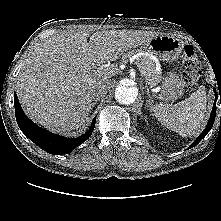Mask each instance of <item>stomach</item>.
Here are the masks:
<instances>
[{"label": "stomach", "instance_id": "1", "mask_svg": "<svg viewBox=\"0 0 221 221\" xmlns=\"http://www.w3.org/2000/svg\"><path fill=\"white\" fill-rule=\"evenodd\" d=\"M150 55L166 62L177 61L184 48V42L174 36L156 35L148 43L140 46ZM184 93V84L179 75L171 71L163 78L161 94L165 100H176Z\"/></svg>", "mask_w": 221, "mask_h": 221}]
</instances>
